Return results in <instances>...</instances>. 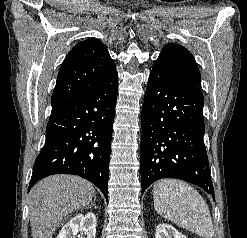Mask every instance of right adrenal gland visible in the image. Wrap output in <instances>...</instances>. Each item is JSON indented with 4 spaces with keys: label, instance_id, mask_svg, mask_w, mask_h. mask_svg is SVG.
<instances>
[{
    "label": "right adrenal gland",
    "instance_id": "obj_1",
    "mask_svg": "<svg viewBox=\"0 0 247 238\" xmlns=\"http://www.w3.org/2000/svg\"><path fill=\"white\" fill-rule=\"evenodd\" d=\"M95 201H96V197L94 198V201L91 203V205L88 206L87 208H92V207L97 208V206L95 205Z\"/></svg>",
    "mask_w": 247,
    "mask_h": 238
}]
</instances>
